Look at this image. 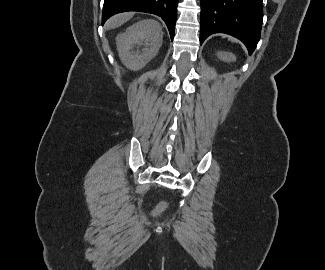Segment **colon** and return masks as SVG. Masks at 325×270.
Here are the masks:
<instances>
[{"instance_id":"1","label":"colon","mask_w":325,"mask_h":270,"mask_svg":"<svg viewBox=\"0 0 325 270\" xmlns=\"http://www.w3.org/2000/svg\"><path fill=\"white\" fill-rule=\"evenodd\" d=\"M165 204L164 203H160L157 208L155 209V212H160L164 209Z\"/></svg>"}]
</instances>
